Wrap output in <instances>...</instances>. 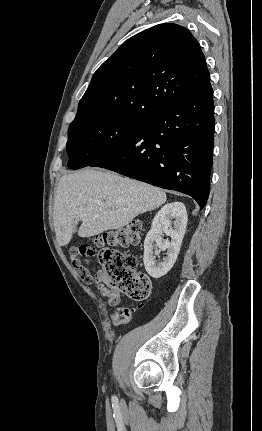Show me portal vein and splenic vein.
<instances>
[{"instance_id":"portal-vein-and-splenic-vein-1","label":"portal vein and splenic vein","mask_w":262,"mask_h":431,"mask_svg":"<svg viewBox=\"0 0 262 431\" xmlns=\"http://www.w3.org/2000/svg\"><path fill=\"white\" fill-rule=\"evenodd\" d=\"M101 206H104L105 204L103 202L100 203Z\"/></svg>"}]
</instances>
